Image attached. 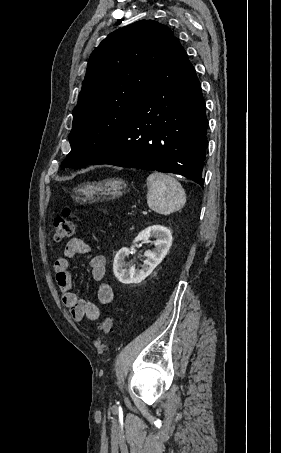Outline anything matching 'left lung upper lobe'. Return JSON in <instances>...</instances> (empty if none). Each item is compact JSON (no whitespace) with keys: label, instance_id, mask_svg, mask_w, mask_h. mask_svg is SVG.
<instances>
[{"label":"left lung upper lobe","instance_id":"left-lung-upper-lobe-1","mask_svg":"<svg viewBox=\"0 0 281 453\" xmlns=\"http://www.w3.org/2000/svg\"><path fill=\"white\" fill-rule=\"evenodd\" d=\"M174 34L141 20L110 33L92 52L61 167L91 164L120 133L166 63Z\"/></svg>","mask_w":281,"mask_h":453}]
</instances>
